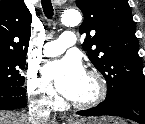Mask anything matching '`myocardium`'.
I'll return each instance as SVG.
<instances>
[{"label": "myocardium", "mask_w": 145, "mask_h": 124, "mask_svg": "<svg viewBox=\"0 0 145 124\" xmlns=\"http://www.w3.org/2000/svg\"><path fill=\"white\" fill-rule=\"evenodd\" d=\"M86 75L95 80L97 84V92L90 100L84 102H69L71 107L78 110L90 109L101 104L105 100L108 92L107 81L102 73H100L98 70L92 69L87 71Z\"/></svg>", "instance_id": "myocardium-1"}]
</instances>
